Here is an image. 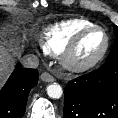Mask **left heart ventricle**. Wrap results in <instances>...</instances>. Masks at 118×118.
I'll list each match as a JSON object with an SVG mask.
<instances>
[{
    "instance_id": "b2bd125f",
    "label": "left heart ventricle",
    "mask_w": 118,
    "mask_h": 118,
    "mask_svg": "<svg viewBox=\"0 0 118 118\" xmlns=\"http://www.w3.org/2000/svg\"><path fill=\"white\" fill-rule=\"evenodd\" d=\"M105 46V36L100 31H94L87 35L80 43L75 60L77 62H86L95 58Z\"/></svg>"
}]
</instances>
